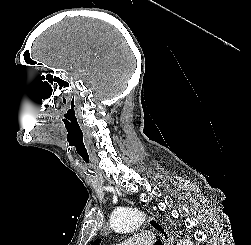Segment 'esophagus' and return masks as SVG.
<instances>
[{
	"label": "esophagus",
	"instance_id": "1",
	"mask_svg": "<svg viewBox=\"0 0 251 245\" xmlns=\"http://www.w3.org/2000/svg\"><path fill=\"white\" fill-rule=\"evenodd\" d=\"M130 202L129 200L125 199ZM147 223L150 227L158 233V235L162 238L163 245H174V237L169 232L168 228L163 226V224L159 223L155 218L148 217Z\"/></svg>",
	"mask_w": 251,
	"mask_h": 245
}]
</instances>
